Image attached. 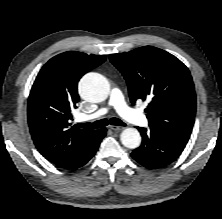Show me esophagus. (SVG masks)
<instances>
[{
	"instance_id": "esophagus-1",
	"label": "esophagus",
	"mask_w": 222,
	"mask_h": 219,
	"mask_svg": "<svg viewBox=\"0 0 222 219\" xmlns=\"http://www.w3.org/2000/svg\"><path fill=\"white\" fill-rule=\"evenodd\" d=\"M110 129L113 131H121L124 129V127H119V126H110Z\"/></svg>"
}]
</instances>
